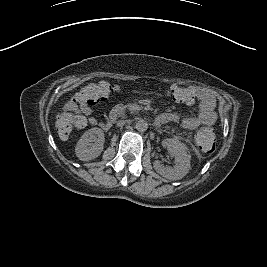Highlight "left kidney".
Segmentation results:
<instances>
[{
    "label": "left kidney",
    "mask_w": 267,
    "mask_h": 267,
    "mask_svg": "<svg viewBox=\"0 0 267 267\" xmlns=\"http://www.w3.org/2000/svg\"><path fill=\"white\" fill-rule=\"evenodd\" d=\"M163 144L167 146L168 152L174 157L175 165L164 166L160 160L153 162L155 171L169 180H179L186 176L191 168V156L188 154L186 147L174 139H164Z\"/></svg>",
    "instance_id": "5707ae66"
}]
</instances>
